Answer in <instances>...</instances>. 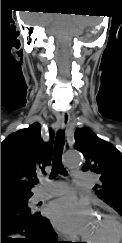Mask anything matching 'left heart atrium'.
Masks as SVG:
<instances>
[{"instance_id": "39dd6f15", "label": "left heart atrium", "mask_w": 122, "mask_h": 243, "mask_svg": "<svg viewBox=\"0 0 122 243\" xmlns=\"http://www.w3.org/2000/svg\"><path fill=\"white\" fill-rule=\"evenodd\" d=\"M47 214L58 229L69 235L86 236L94 218L91 206L72 195L53 201Z\"/></svg>"}]
</instances>
